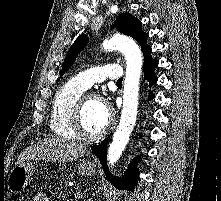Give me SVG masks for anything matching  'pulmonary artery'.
Masks as SVG:
<instances>
[{
	"label": "pulmonary artery",
	"mask_w": 221,
	"mask_h": 201,
	"mask_svg": "<svg viewBox=\"0 0 221 201\" xmlns=\"http://www.w3.org/2000/svg\"><path fill=\"white\" fill-rule=\"evenodd\" d=\"M122 68L118 64H105L94 67L77 74L72 81L84 89H88L96 83H101L106 79L118 81L122 78Z\"/></svg>",
	"instance_id": "1"
}]
</instances>
